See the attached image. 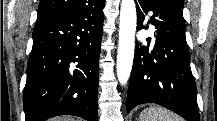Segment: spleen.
Instances as JSON below:
<instances>
[{
    "instance_id": "1",
    "label": "spleen",
    "mask_w": 217,
    "mask_h": 121,
    "mask_svg": "<svg viewBox=\"0 0 217 121\" xmlns=\"http://www.w3.org/2000/svg\"><path fill=\"white\" fill-rule=\"evenodd\" d=\"M140 119L141 121H181L175 114L158 106L144 109Z\"/></svg>"
}]
</instances>
